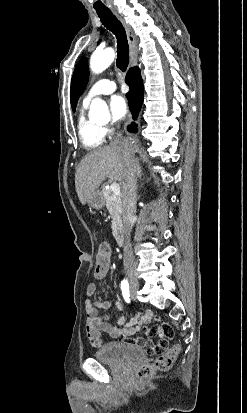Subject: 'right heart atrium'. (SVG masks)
<instances>
[{"mask_svg":"<svg viewBox=\"0 0 247 413\" xmlns=\"http://www.w3.org/2000/svg\"><path fill=\"white\" fill-rule=\"evenodd\" d=\"M101 129L104 131V134H105V133H107V132L109 131V129H108V128H106V127H105V128L101 127Z\"/></svg>","mask_w":247,"mask_h":413,"instance_id":"1","label":"right heart atrium"}]
</instances>
